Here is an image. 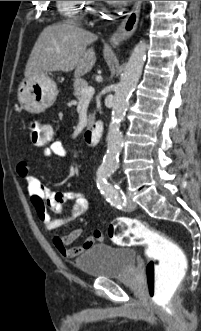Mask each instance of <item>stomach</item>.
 <instances>
[{
	"instance_id": "1",
	"label": "stomach",
	"mask_w": 201,
	"mask_h": 331,
	"mask_svg": "<svg viewBox=\"0 0 201 331\" xmlns=\"http://www.w3.org/2000/svg\"><path fill=\"white\" fill-rule=\"evenodd\" d=\"M58 95L56 83L48 76L25 78L18 89V100L32 114L48 109Z\"/></svg>"
}]
</instances>
